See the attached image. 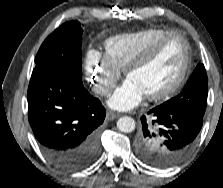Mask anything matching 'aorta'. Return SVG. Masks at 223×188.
Listing matches in <instances>:
<instances>
[{
  "instance_id": "1",
  "label": "aorta",
  "mask_w": 223,
  "mask_h": 188,
  "mask_svg": "<svg viewBox=\"0 0 223 188\" xmlns=\"http://www.w3.org/2000/svg\"><path fill=\"white\" fill-rule=\"evenodd\" d=\"M117 128L121 132L130 133L135 129V121L128 116L121 117L117 121Z\"/></svg>"
}]
</instances>
